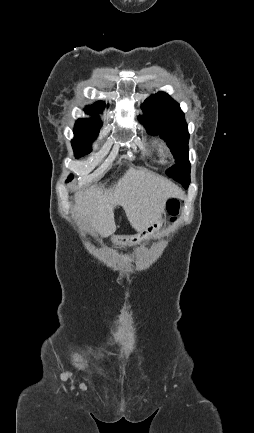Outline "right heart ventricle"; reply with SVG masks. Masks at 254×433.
Wrapping results in <instances>:
<instances>
[{
    "label": "right heart ventricle",
    "mask_w": 254,
    "mask_h": 433,
    "mask_svg": "<svg viewBox=\"0 0 254 433\" xmlns=\"http://www.w3.org/2000/svg\"><path fill=\"white\" fill-rule=\"evenodd\" d=\"M148 146L152 154V159L158 163H163L164 162L163 145L157 140H150L148 142Z\"/></svg>",
    "instance_id": "right-heart-ventricle-1"
}]
</instances>
